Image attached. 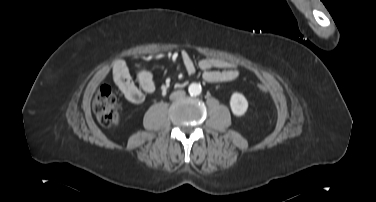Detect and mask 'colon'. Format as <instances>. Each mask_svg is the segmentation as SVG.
<instances>
[{
	"mask_svg": "<svg viewBox=\"0 0 376 202\" xmlns=\"http://www.w3.org/2000/svg\"><path fill=\"white\" fill-rule=\"evenodd\" d=\"M257 88L260 92L267 91V85L263 82L258 83ZM93 110L98 121L104 126L116 127L121 120L116 96L107 85L101 86L96 92L93 99Z\"/></svg>",
	"mask_w": 376,
	"mask_h": 202,
	"instance_id": "obj_1",
	"label": "colon"
}]
</instances>
